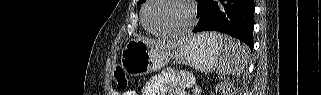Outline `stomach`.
Segmentation results:
<instances>
[{
	"label": "stomach",
	"mask_w": 321,
	"mask_h": 95,
	"mask_svg": "<svg viewBox=\"0 0 321 95\" xmlns=\"http://www.w3.org/2000/svg\"><path fill=\"white\" fill-rule=\"evenodd\" d=\"M222 51L219 39L210 37L208 33L191 36L172 51H159L139 39H132L121 52L120 64L130 76L158 71L170 59L202 72H210L215 69Z\"/></svg>",
	"instance_id": "1"
}]
</instances>
